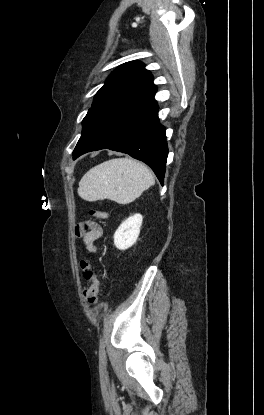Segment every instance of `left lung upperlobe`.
Here are the masks:
<instances>
[{"mask_svg":"<svg viewBox=\"0 0 264 415\" xmlns=\"http://www.w3.org/2000/svg\"><path fill=\"white\" fill-rule=\"evenodd\" d=\"M153 86V77L143 63L131 61L117 67L95 95L92 107L83 119L82 135L73 156L103 113L122 100Z\"/></svg>","mask_w":264,"mask_h":415,"instance_id":"obj_1","label":"left lung upper lobe"}]
</instances>
